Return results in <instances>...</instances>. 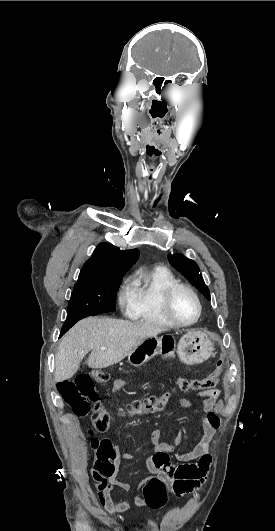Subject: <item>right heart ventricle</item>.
Listing matches in <instances>:
<instances>
[{"mask_svg":"<svg viewBox=\"0 0 275 531\" xmlns=\"http://www.w3.org/2000/svg\"><path fill=\"white\" fill-rule=\"evenodd\" d=\"M176 282L173 274L163 270L139 278L136 282L137 306L132 314L133 319L153 326L175 328L163 312L162 296L165 289Z\"/></svg>","mask_w":275,"mask_h":531,"instance_id":"e07e8e85","label":"right heart ventricle"}]
</instances>
